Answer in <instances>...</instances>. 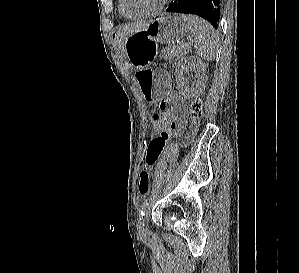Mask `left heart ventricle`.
<instances>
[{
    "label": "left heart ventricle",
    "mask_w": 299,
    "mask_h": 273,
    "mask_svg": "<svg viewBox=\"0 0 299 273\" xmlns=\"http://www.w3.org/2000/svg\"><path fill=\"white\" fill-rule=\"evenodd\" d=\"M162 0H124L125 9L130 14H143L156 8Z\"/></svg>",
    "instance_id": "left-heart-ventricle-1"
}]
</instances>
